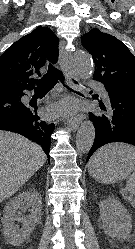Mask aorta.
<instances>
[{
	"instance_id": "obj_1",
	"label": "aorta",
	"mask_w": 135,
	"mask_h": 249,
	"mask_svg": "<svg viewBox=\"0 0 135 249\" xmlns=\"http://www.w3.org/2000/svg\"><path fill=\"white\" fill-rule=\"evenodd\" d=\"M74 65L78 73L85 79L92 76L93 62L90 56L84 51H78L74 54ZM95 139V128L92 122L84 121L77 133L76 148L80 154L87 153Z\"/></svg>"
}]
</instances>
